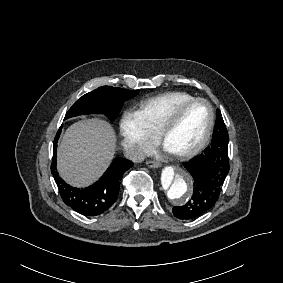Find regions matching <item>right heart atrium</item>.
Segmentation results:
<instances>
[{
	"label": "right heart atrium",
	"instance_id": "1",
	"mask_svg": "<svg viewBox=\"0 0 283 283\" xmlns=\"http://www.w3.org/2000/svg\"><path fill=\"white\" fill-rule=\"evenodd\" d=\"M118 137L125 156L132 162L141 161L153 143V134L142 115L126 107L120 117Z\"/></svg>",
	"mask_w": 283,
	"mask_h": 283
}]
</instances>
